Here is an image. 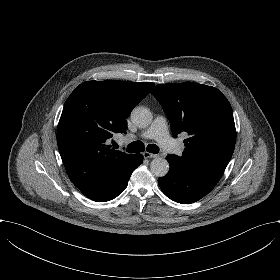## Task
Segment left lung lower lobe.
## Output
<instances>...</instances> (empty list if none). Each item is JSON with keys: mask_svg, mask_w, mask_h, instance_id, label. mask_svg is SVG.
<instances>
[{"mask_svg": "<svg viewBox=\"0 0 280 280\" xmlns=\"http://www.w3.org/2000/svg\"><path fill=\"white\" fill-rule=\"evenodd\" d=\"M170 170L158 179L163 193L178 203L189 204L206 196L218 183L223 171L184 163L180 157H166Z\"/></svg>", "mask_w": 280, "mask_h": 280, "instance_id": "obj_1", "label": "left lung lower lobe"}]
</instances>
